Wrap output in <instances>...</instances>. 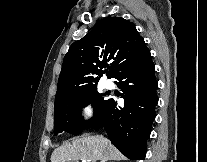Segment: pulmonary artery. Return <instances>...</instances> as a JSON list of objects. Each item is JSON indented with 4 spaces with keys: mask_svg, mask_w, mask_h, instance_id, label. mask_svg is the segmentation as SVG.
<instances>
[{
    "mask_svg": "<svg viewBox=\"0 0 207 162\" xmlns=\"http://www.w3.org/2000/svg\"><path fill=\"white\" fill-rule=\"evenodd\" d=\"M105 87H106L107 89H112V88L114 87V85H113L112 82L107 81V82L105 83Z\"/></svg>",
    "mask_w": 207,
    "mask_h": 162,
    "instance_id": "e3ab8cb5",
    "label": "pulmonary artery"
}]
</instances>
